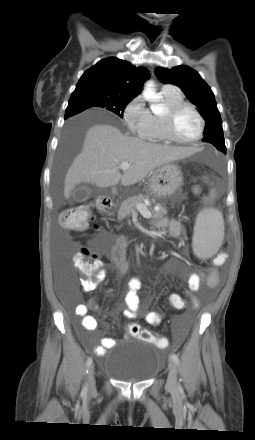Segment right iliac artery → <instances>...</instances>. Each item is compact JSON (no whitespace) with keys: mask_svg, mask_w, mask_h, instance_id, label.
<instances>
[{"mask_svg":"<svg viewBox=\"0 0 255 440\" xmlns=\"http://www.w3.org/2000/svg\"><path fill=\"white\" fill-rule=\"evenodd\" d=\"M91 364H92V358L89 357V358L87 359V361H86V373L88 372V368L91 366ZM87 390H88V388H87V384L85 383V385L83 386V389H82V391H81V394H82L83 396H85V395L87 394Z\"/></svg>","mask_w":255,"mask_h":440,"instance_id":"right-iliac-artery-1","label":"right iliac artery"}]
</instances>
